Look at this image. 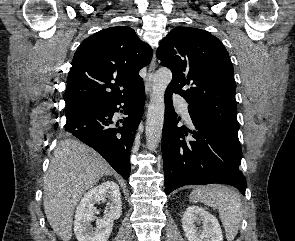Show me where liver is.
Wrapping results in <instances>:
<instances>
[{"label":"liver","mask_w":295,"mask_h":241,"mask_svg":"<svg viewBox=\"0 0 295 241\" xmlns=\"http://www.w3.org/2000/svg\"><path fill=\"white\" fill-rule=\"evenodd\" d=\"M112 172L85 144L73 139L59 142L44 178L43 205L50 226L62 241L72 237L73 214L82 195Z\"/></svg>","instance_id":"1"}]
</instances>
